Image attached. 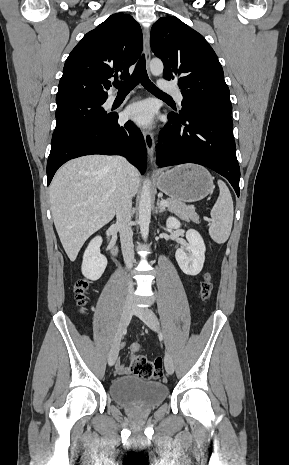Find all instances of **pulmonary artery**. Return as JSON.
Instances as JSON below:
<instances>
[{
  "label": "pulmonary artery",
  "mask_w": 289,
  "mask_h": 465,
  "mask_svg": "<svg viewBox=\"0 0 289 465\" xmlns=\"http://www.w3.org/2000/svg\"><path fill=\"white\" fill-rule=\"evenodd\" d=\"M159 87H160V89H161L162 91L173 94V95L176 97V99H177V101L179 102V104L182 103V101H183V95H182V93L180 92V90H179L176 86H174V85H172V84H169V83H167V82L164 81V80H160V82H159ZM114 100H115V96H111V97L109 98V102H113Z\"/></svg>",
  "instance_id": "e3ab8cb5"
}]
</instances>
